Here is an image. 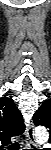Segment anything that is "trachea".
<instances>
[{"mask_svg": "<svg viewBox=\"0 0 51 150\" xmlns=\"http://www.w3.org/2000/svg\"><path fill=\"white\" fill-rule=\"evenodd\" d=\"M20 144L16 142L8 147L9 150H19ZM33 147V146H32ZM34 148V147H33Z\"/></svg>", "mask_w": 51, "mask_h": 150, "instance_id": "3493384b", "label": "trachea"}]
</instances>
